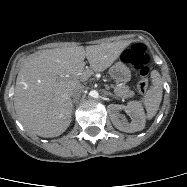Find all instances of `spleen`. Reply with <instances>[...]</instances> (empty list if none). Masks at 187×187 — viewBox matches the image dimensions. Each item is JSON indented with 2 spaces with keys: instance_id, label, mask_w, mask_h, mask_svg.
<instances>
[{
  "instance_id": "spleen-1",
  "label": "spleen",
  "mask_w": 187,
  "mask_h": 187,
  "mask_svg": "<svg viewBox=\"0 0 187 187\" xmlns=\"http://www.w3.org/2000/svg\"><path fill=\"white\" fill-rule=\"evenodd\" d=\"M152 87L147 91L142 102L147 111V117L150 119L157 113L162 100V80L158 71L151 72Z\"/></svg>"
}]
</instances>
